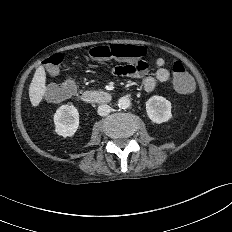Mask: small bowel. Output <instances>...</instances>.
I'll return each mask as SVG.
<instances>
[{"mask_svg": "<svg viewBox=\"0 0 232 232\" xmlns=\"http://www.w3.org/2000/svg\"><path fill=\"white\" fill-rule=\"evenodd\" d=\"M155 65L157 66V71L154 75H148L146 74L148 64L146 61H141L139 65H124V66H116L112 69V74L116 76H131V77H137L142 78L143 80V89L145 92H152L156 84L164 83L169 80L170 78V72L165 67V60L162 57H158L155 59ZM50 74V75H56Z\"/></svg>", "mask_w": 232, "mask_h": 232, "instance_id": "small-bowel-1", "label": "small bowel"}]
</instances>
